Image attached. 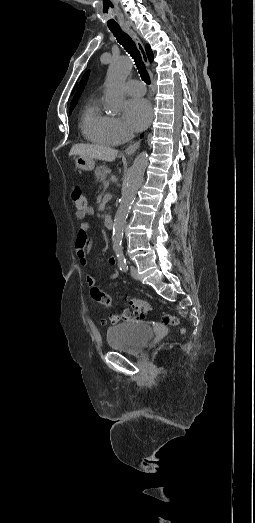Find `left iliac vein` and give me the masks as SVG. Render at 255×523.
Returning <instances> with one entry per match:
<instances>
[{"mask_svg": "<svg viewBox=\"0 0 255 523\" xmlns=\"http://www.w3.org/2000/svg\"><path fill=\"white\" fill-rule=\"evenodd\" d=\"M130 271H131V275L134 279L138 280L139 279V275H138V272H137V269L135 266H130Z\"/></svg>", "mask_w": 255, "mask_h": 523, "instance_id": "left-iliac-vein-1", "label": "left iliac vein"}]
</instances>
